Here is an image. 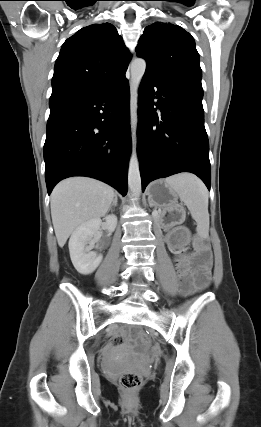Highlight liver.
<instances>
[{
    "label": "liver",
    "instance_id": "1",
    "mask_svg": "<svg viewBox=\"0 0 261 427\" xmlns=\"http://www.w3.org/2000/svg\"><path fill=\"white\" fill-rule=\"evenodd\" d=\"M114 196L111 186L92 178L73 177L57 184L50 206L58 245L63 247L81 224L103 217Z\"/></svg>",
    "mask_w": 261,
    "mask_h": 427
}]
</instances>
